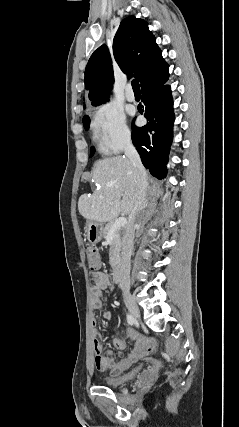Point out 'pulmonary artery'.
<instances>
[{
    "label": "pulmonary artery",
    "mask_w": 239,
    "mask_h": 427,
    "mask_svg": "<svg viewBox=\"0 0 239 427\" xmlns=\"http://www.w3.org/2000/svg\"><path fill=\"white\" fill-rule=\"evenodd\" d=\"M125 96L126 99L130 102H133L135 100V94L130 85L126 88Z\"/></svg>",
    "instance_id": "1"
}]
</instances>
